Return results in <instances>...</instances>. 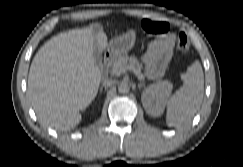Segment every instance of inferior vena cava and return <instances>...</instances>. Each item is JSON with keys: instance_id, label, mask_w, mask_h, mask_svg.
Here are the masks:
<instances>
[{"instance_id": "1", "label": "inferior vena cava", "mask_w": 243, "mask_h": 167, "mask_svg": "<svg viewBox=\"0 0 243 167\" xmlns=\"http://www.w3.org/2000/svg\"><path fill=\"white\" fill-rule=\"evenodd\" d=\"M113 83V81H111V80H105L104 82H103V86H110L111 84Z\"/></svg>"}]
</instances>
